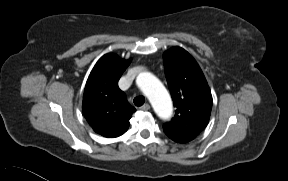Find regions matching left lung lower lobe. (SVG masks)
<instances>
[{"mask_svg":"<svg viewBox=\"0 0 288 181\" xmlns=\"http://www.w3.org/2000/svg\"><path fill=\"white\" fill-rule=\"evenodd\" d=\"M167 136L173 141L178 142V143H187L194 139L192 137H178V136H169V135Z\"/></svg>","mask_w":288,"mask_h":181,"instance_id":"obj_1","label":"left lung lower lobe"}]
</instances>
